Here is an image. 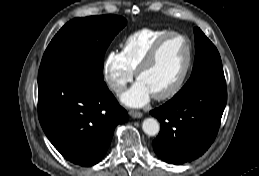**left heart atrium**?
Wrapping results in <instances>:
<instances>
[{
    "label": "left heart atrium",
    "instance_id": "39dd6f15",
    "mask_svg": "<svg viewBox=\"0 0 259 176\" xmlns=\"http://www.w3.org/2000/svg\"><path fill=\"white\" fill-rule=\"evenodd\" d=\"M152 97L151 91L141 81H137L122 96L121 101L129 107H142L146 105Z\"/></svg>",
    "mask_w": 259,
    "mask_h": 176
}]
</instances>
